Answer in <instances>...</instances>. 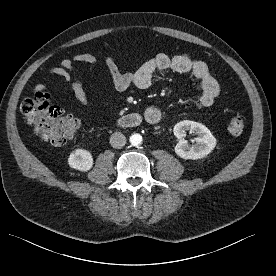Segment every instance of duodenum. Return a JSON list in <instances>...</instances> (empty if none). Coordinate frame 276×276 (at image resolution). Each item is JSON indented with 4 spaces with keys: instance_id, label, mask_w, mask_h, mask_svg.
Returning <instances> with one entry per match:
<instances>
[{
    "instance_id": "410a0bca",
    "label": "duodenum",
    "mask_w": 276,
    "mask_h": 276,
    "mask_svg": "<svg viewBox=\"0 0 276 276\" xmlns=\"http://www.w3.org/2000/svg\"><path fill=\"white\" fill-rule=\"evenodd\" d=\"M142 120L143 119L140 114L129 113V114L121 116L118 119V124H119V126L126 127V128L137 127L142 123Z\"/></svg>"
}]
</instances>
